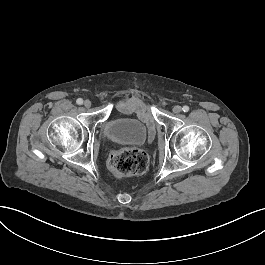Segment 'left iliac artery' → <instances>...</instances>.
Returning <instances> with one entry per match:
<instances>
[{"instance_id": "44dca946", "label": "left iliac artery", "mask_w": 265, "mask_h": 265, "mask_svg": "<svg viewBox=\"0 0 265 265\" xmlns=\"http://www.w3.org/2000/svg\"><path fill=\"white\" fill-rule=\"evenodd\" d=\"M182 110H183L184 112H188V111H189V107L185 105V106H183Z\"/></svg>"}]
</instances>
